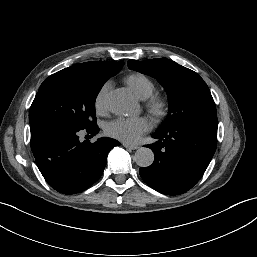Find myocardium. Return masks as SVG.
Masks as SVG:
<instances>
[{"mask_svg":"<svg viewBox=\"0 0 257 257\" xmlns=\"http://www.w3.org/2000/svg\"><path fill=\"white\" fill-rule=\"evenodd\" d=\"M145 107L154 117L160 118L165 113L166 102L161 96L153 95L147 99Z\"/></svg>","mask_w":257,"mask_h":257,"instance_id":"f54148a6","label":"myocardium"}]
</instances>
